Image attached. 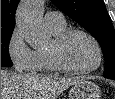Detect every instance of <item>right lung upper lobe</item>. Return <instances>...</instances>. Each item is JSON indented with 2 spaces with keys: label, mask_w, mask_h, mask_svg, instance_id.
<instances>
[{
  "label": "right lung upper lobe",
  "mask_w": 115,
  "mask_h": 99,
  "mask_svg": "<svg viewBox=\"0 0 115 99\" xmlns=\"http://www.w3.org/2000/svg\"><path fill=\"white\" fill-rule=\"evenodd\" d=\"M20 0H1V30H13L15 12Z\"/></svg>",
  "instance_id": "obj_1"
}]
</instances>
